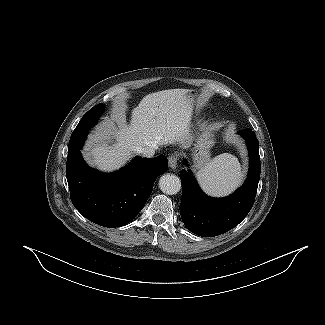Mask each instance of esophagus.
<instances>
[{
	"mask_svg": "<svg viewBox=\"0 0 325 325\" xmlns=\"http://www.w3.org/2000/svg\"><path fill=\"white\" fill-rule=\"evenodd\" d=\"M168 163H169V167L171 169H176L177 165H178V156L177 155H170L168 158Z\"/></svg>",
	"mask_w": 325,
	"mask_h": 325,
	"instance_id": "obj_1",
	"label": "esophagus"
}]
</instances>
